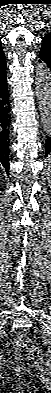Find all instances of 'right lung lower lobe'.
I'll return each instance as SVG.
<instances>
[{
  "mask_svg": "<svg viewBox=\"0 0 51 393\" xmlns=\"http://www.w3.org/2000/svg\"><path fill=\"white\" fill-rule=\"evenodd\" d=\"M7 68L0 72V163L9 172L10 101L6 79Z\"/></svg>",
  "mask_w": 51,
  "mask_h": 393,
  "instance_id": "98d812e1",
  "label": "right lung lower lobe"
}]
</instances>
